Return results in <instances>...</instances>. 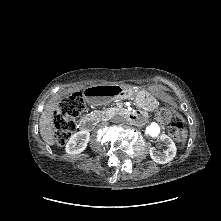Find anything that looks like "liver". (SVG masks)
<instances>
[{"instance_id": "liver-1", "label": "liver", "mask_w": 221, "mask_h": 221, "mask_svg": "<svg viewBox=\"0 0 221 221\" xmlns=\"http://www.w3.org/2000/svg\"><path fill=\"white\" fill-rule=\"evenodd\" d=\"M56 109V99L50 101L41 114L39 120V128L42 139L48 145L55 144V133H54V111Z\"/></svg>"}]
</instances>
